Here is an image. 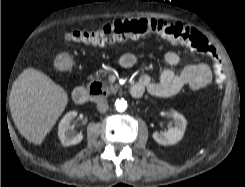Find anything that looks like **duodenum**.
<instances>
[{
	"mask_svg": "<svg viewBox=\"0 0 245 187\" xmlns=\"http://www.w3.org/2000/svg\"><path fill=\"white\" fill-rule=\"evenodd\" d=\"M130 92L134 97H140L142 95V89L139 85H132ZM102 94L101 87L99 85L92 86L90 88L77 87L73 92V100L77 104H85L92 96H100Z\"/></svg>",
	"mask_w": 245,
	"mask_h": 187,
	"instance_id": "410a0bca",
	"label": "duodenum"
}]
</instances>
